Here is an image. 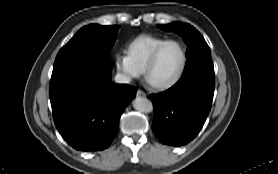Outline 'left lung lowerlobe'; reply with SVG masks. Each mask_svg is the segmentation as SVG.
<instances>
[{"label":"left lung lower lobe","mask_w":278,"mask_h":174,"mask_svg":"<svg viewBox=\"0 0 278 174\" xmlns=\"http://www.w3.org/2000/svg\"><path fill=\"white\" fill-rule=\"evenodd\" d=\"M215 77L196 75L179 80L167 91L150 96L152 130L163 143L184 145L201 130L212 105Z\"/></svg>","instance_id":"obj_1"}]
</instances>
